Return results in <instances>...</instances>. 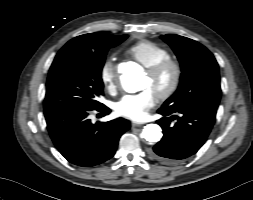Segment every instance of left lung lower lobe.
<instances>
[{"mask_svg":"<svg viewBox=\"0 0 253 200\" xmlns=\"http://www.w3.org/2000/svg\"><path fill=\"white\" fill-rule=\"evenodd\" d=\"M217 108L198 106L176 112L161 107L163 117L157 123L163 129V137L149 155L164 164H176L195 154L205 143L215 122ZM177 119L175 124H171Z\"/></svg>","mask_w":253,"mask_h":200,"instance_id":"left-lung-lower-lobe-1","label":"left lung lower lobe"}]
</instances>
